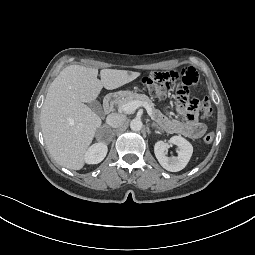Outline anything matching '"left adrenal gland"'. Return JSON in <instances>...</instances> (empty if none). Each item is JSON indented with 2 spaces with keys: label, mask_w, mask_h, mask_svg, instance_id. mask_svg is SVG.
I'll return each mask as SVG.
<instances>
[{
  "label": "left adrenal gland",
  "mask_w": 255,
  "mask_h": 255,
  "mask_svg": "<svg viewBox=\"0 0 255 255\" xmlns=\"http://www.w3.org/2000/svg\"><path fill=\"white\" fill-rule=\"evenodd\" d=\"M152 127H158L155 123L152 124ZM157 133V132H156Z\"/></svg>",
  "instance_id": "left-adrenal-gland-1"
}]
</instances>
